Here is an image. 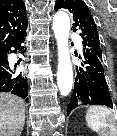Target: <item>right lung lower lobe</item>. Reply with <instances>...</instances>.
<instances>
[{
	"instance_id": "right-lung-lower-lobe-1",
	"label": "right lung lower lobe",
	"mask_w": 117,
	"mask_h": 136,
	"mask_svg": "<svg viewBox=\"0 0 117 136\" xmlns=\"http://www.w3.org/2000/svg\"><path fill=\"white\" fill-rule=\"evenodd\" d=\"M27 26L20 31L8 44L6 49L0 51V92H11L28 101L27 78L22 70L7 59L8 54L22 52L24 53V43Z\"/></svg>"
}]
</instances>
